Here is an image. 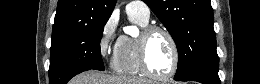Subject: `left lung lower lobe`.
I'll return each mask as SVG.
<instances>
[{"instance_id": "left-lung-lower-lobe-1", "label": "left lung lower lobe", "mask_w": 260, "mask_h": 84, "mask_svg": "<svg viewBox=\"0 0 260 84\" xmlns=\"http://www.w3.org/2000/svg\"><path fill=\"white\" fill-rule=\"evenodd\" d=\"M178 81H197L202 84H220L218 76V67H205L193 71L189 75L181 79H175Z\"/></svg>"}]
</instances>
